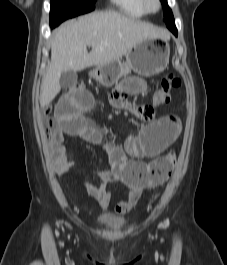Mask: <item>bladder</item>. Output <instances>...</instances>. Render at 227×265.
I'll return each mask as SVG.
<instances>
[{
  "label": "bladder",
  "instance_id": "31cf9c89",
  "mask_svg": "<svg viewBox=\"0 0 227 265\" xmlns=\"http://www.w3.org/2000/svg\"><path fill=\"white\" fill-rule=\"evenodd\" d=\"M99 229L103 230V231H108V232H119L122 230V227H120L119 225L113 223V222H107V223H101L99 225Z\"/></svg>",
  "mask_w": 227,
  "mask_h": 265
}]
</instances>
